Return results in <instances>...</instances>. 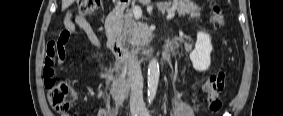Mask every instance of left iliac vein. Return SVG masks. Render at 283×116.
I'll use <instances>...</instances> for the list:
<instances>
[{
	"mask_svg": "<svg viewBox=\"0 0 283 116\" xmlns=\"http://www.w3.org/2000/svg\"><path fill=\"white\" fill-rule=\"evenodd\" d=\"M141 116H150L149 112L146 110V108H141Z\"/></svg>",
	"mask_w": 283,
	"mask_h": 116,
	"instance_id": "1",
	"label": "left iliac vein"
}]
</instances>
